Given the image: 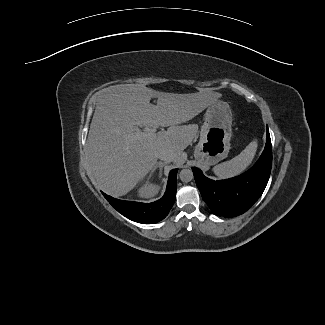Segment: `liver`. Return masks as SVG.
<instances>
[{
  "instance_id": "liver-1",
  "label": "liver",
  "mask_w": 325,
  "mask_h": 325,
  "mask_svg": "<svg viewBox=\"0 0 325 325\" xmlns=\"http://www.w3.org/2000/svg\"><path fill=\"white\" fill-rule=\"evenodd\" d=\"M222 94L201 91L189 94L160 92L141 84H120L96 94V108L87 139L89 173L107 194L122 196L131 191L157 164L160 150L174 155L181 165L198 132L185 123ZM157 98V105L150 103ZM137 126L168 127L154 139L135 136Z\"/></svg>"
}]
</instances>
